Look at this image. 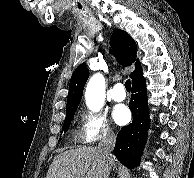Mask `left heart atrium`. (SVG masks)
I'll return each instance as SVG.
<instances>
[{
  "mask_svg": "<svg viewBox=\"0 0 194 178\" xmlns=\"http://www.w3.org/2000/svg\"><path fill=\"white\" fill-rule=\"evenodd\" d=\"M112 117L116 124L124 125L130 120V112L125 106L118 105L114 107Z\"/></svg>",
  "mask_w": 194,
  "mask_h": 178,
  "instance_id": "1",
  "label": "left heart atrium"
}]
</instances>
